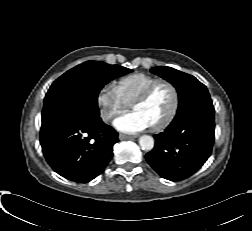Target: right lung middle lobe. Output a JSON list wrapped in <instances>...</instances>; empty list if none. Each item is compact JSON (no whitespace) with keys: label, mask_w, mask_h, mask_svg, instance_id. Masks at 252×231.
<instances>
[{"label":"right lung middle lobe","mask_w":252,"mask_h":231,"mask_svg":"<svg viewBox=\"0 0 252 231\" xmlns=\"http://www.w3.org/2000/svg\"><path fill=\"white\" fill-rule=\"evenodd\" d=\"M130 72L131 69L101 61H87L68 70L48 90L42 120L59 112L99 116L100 90L111 80Z\"/></svg>","instance_id":"obj_1"}]
</instances>
